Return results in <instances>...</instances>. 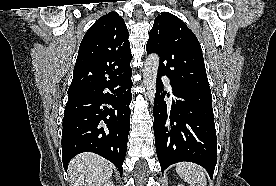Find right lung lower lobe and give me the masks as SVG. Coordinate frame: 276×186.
I'll return each mask as SVG.
<instances>
[{"label":"right lung lower lobe","instance_id":"right-lung-lower-lobe-1","mask_svg":"<svg viewBox=\"0 0 276 186\" xmlns=\"http://www.w3.org/2000/svg\"><path fill=\"white\" fill-rule=\"evenodd\" d=\"M131 75L68 98L62 131L65 170L74 156L87 151L112 162L122 175L130 130Z\"/></svg>","mask_w":276,"mask_h":186}]
</instances>
